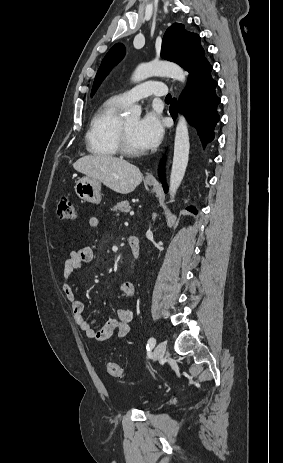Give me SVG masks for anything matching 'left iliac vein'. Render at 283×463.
<instances>
[{
  "label": "left iliac vein",
  "mask_w": 283,
  "mask_h": 463,
  "mask_svg": "<svg viewBox=\"0 0 283 463\" xmlns=\"http://www.w3.org/2000/svg\"><path fill=\"white\" fill-rule=\"evenodd\" d=\"M165 351H166V343L163 341L159 342L153 352L154 359L163 358Z\"/></svg>",
  "instance_id": "1"
}]
</instances>
